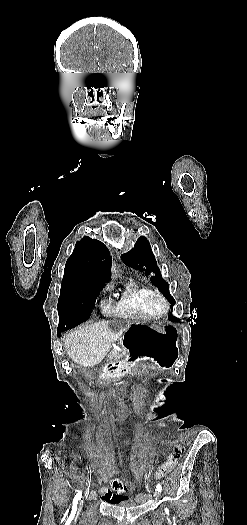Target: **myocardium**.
I'll return each instance as SVG.
<instances>
[{
    "mask_svg": "<svg viewBox=\"0 0 247 525\" xmlns=\"http://www.w3.org/2000/svg\"><path fill=\"white\" fill-rule=\"evenodd\" d=\"M142 293L147 300V311L152 317H162L168 312V300L160 290L155 288H144L142 290ZM154 299H158L160 301V308L154 307Z\"/></svg>",
    "mask_w": 247,
    "mask_h": 525,
    "instance_id": "obj_1",
    "label": "myocardium"
}]
</instances>
